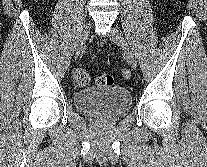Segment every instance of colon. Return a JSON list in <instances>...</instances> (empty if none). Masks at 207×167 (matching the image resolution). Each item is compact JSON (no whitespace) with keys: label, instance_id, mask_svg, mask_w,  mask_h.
Listing matches in <instances>:
<instances>
[{"label":"colon","instance_id":"1","mask_svg":"<svg viewBox=\"0 0 207 167\" xmlns=\"http://www.w3.org/2000/svg\"><path fill=\"white\" fill-rule=\"evenodd\" d=\"M120 74L123 79L131 77V72L128 68H123ZM74 80L79 85H87L90 81V75L87 70L78 68L74 72ZM95 83L100 87H110L114 84V78L109 74H98L95 78Z\"/></svg>","mask_w":207,"mask_h":167}]
</instances>
